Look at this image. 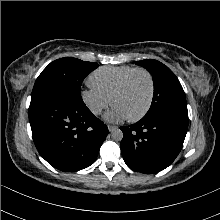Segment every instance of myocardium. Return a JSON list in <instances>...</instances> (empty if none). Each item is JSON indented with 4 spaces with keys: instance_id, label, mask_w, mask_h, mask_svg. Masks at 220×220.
I'll return each instance as SVG.
<instances>
[{
    "instance_id": "f54148a6",
    "label": "myocardium",
    "mask_w": 220,
    "mask_h": 220,
    "mask_svg": "<svg viewBox=\"0 0 220 220\" xmlns=\"http://www.w3.org/2000/svg\"><path fill=\"white\" fill-rule=\"evenodd\" d=\"M139 72L144 73L149 80V84H150L149 99H148V102H147L145 108L138 115L133 116V117H128V120L130 122H137V121L143 119L147 115V113L149 112V110L153 104L154 95H155V82H154V78H153L152 74L145 68H135L134 70H132L130 73H128L124 77V79L120 82V84L113 91L111 98H110L111 103L113 104L115 97L118 96L126 88L127 84L131 80V78L136 73H139Z\"/></svg>"
}]
</instances>
